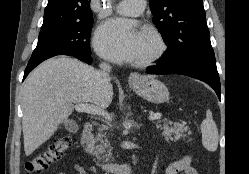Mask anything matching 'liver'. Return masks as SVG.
Masks as SVG:
<instances>
[{"instance_id":"1","label":"liver","mask_w":249,"mask_h":174,"mask_svg":"<svg viewBox=\"0 0 249 174\" xmlns=\"http://www.w3.org/2000/svg\"><path fill=\"white\" fill-rule=\"evenodd\" d=\"M96 70L71 57L44 61L23 85V137L26 156L31 155L67 121L73 104L92 103L104 109L113 99V87L102 86Z\"/></svg>"}]
</instances>
